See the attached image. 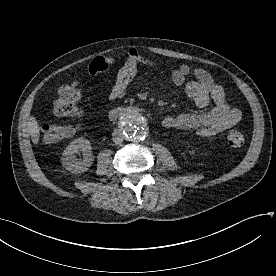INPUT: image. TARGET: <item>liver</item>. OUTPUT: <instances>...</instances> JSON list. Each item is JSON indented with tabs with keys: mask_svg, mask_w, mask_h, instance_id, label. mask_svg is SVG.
<instances>
[{
	"mask_svg": "<svg viewBox=\"0 0 276 276\" xmlns=\"http://www.w3.org/2000/svg\"><path fill=\"white\" fill-rule=\"evenodd\" d=\"M29 133L32 138V142L36 145L40 140V127L35 117H30L28 122Z\"/></svg>",
	"mask_w": 276,
	"mask_h": 276,
	"instance_id": "1",
	"label": "liver"
}]
</instances>
